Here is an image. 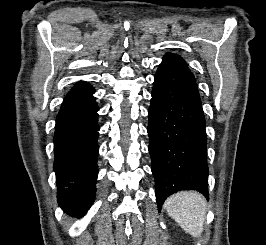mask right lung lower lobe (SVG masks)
I'll use <instances>...</instances> for the list:
<instances>
[{"label": "right lung lower lobe", "instance_id": "obj_1", "mask_svg": "<svg viewBox=\"0 0 266 245\" xmlns=\"http://www.w3.org/2000/svg\"><path fill=\"white\" fill-rule=\"evenodd\" d=\"M93 94L90 84L77 82L56 117L53 141L57 200L71 215H84L95 198L99 108Z\"/></svg>", "mask_w": 266, "mask_h": 245}]
</instances>
